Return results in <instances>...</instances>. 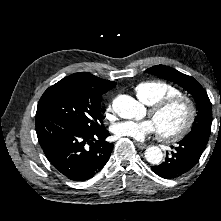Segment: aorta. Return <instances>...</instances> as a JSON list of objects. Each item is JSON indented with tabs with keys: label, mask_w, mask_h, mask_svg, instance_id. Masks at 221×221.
Segmentation results:
<instances>
[{
	"label": "aorta",
	"mask_w": 221,
	"mask_h": 221,
	"mask_svg": "<svg viewBox=\"0 0 221 221\" xmlns=\"http://www.w3.org/2000/svg\"><path fill=\"white\" fill-rule=\"evenodd\" d=\"M115 113L124 119H141L143 106L134 98L128 95H119L113 101ZM145 159L154 165L159 164L163 159V153L157 146H150L145 150Z\"/></svg>",
	"instance_id": "aorta-1"
}]
</instances>
